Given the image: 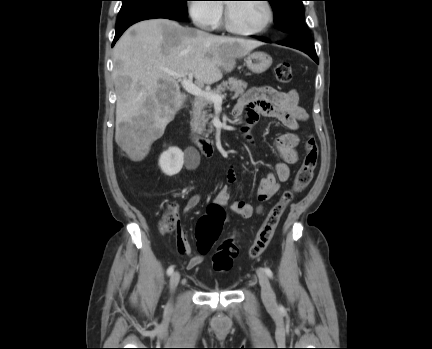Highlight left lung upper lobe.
Returning <instances> with one entry per match:
<instances>
[{"label": "left lung upper lobe", "mask_w": 432, "mask_h": 349, "mask_svg": "<svg viewBox=\"0 0 432 349\" xmlns=\"http://www.w3.org/2000/svg\"><path fill=\"white\" fill-rule=\"evenodd\" d=\"M275 13V26L289 36L311 37L304 23L303 0H267Z\"/></svg>", "instance_id": "obj_1"}]
</instances>
